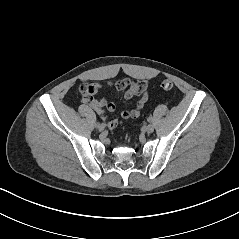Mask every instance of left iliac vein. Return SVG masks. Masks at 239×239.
<instances>
[{"instance_id": "1", "label": "left iliac vein", "mask_w": 239, "mask_h": 239, "mask_svg": "<svg viewBox=\"0 0 239 239\" xmlns=\"http://www.w3.org/2000/svg\"><path fill=\"white\" fill-rule=\"evenodd\" d=\"M145 131L147 133H152L154 131V125L153 124H148L145 128Z\"/></svg>"}]
</instances>
